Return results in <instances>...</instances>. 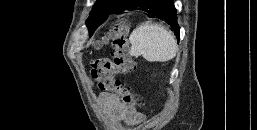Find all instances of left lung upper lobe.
I'll use <instances>...</instances> for the list:
<instances>
[{
	"mask_svg": "<svg viewBox=\"0 0 257 130\" xmlns=\"http://www.w3.org/2000/svg\"><path fill=\"white\" fill-rule=\"evenodd\" d=\"M128 0H97L86 21L90 36L114 10L122 7Z\"/></svg>",
	"mask_w": 257,
	"mask_h": 130,
	"instance_id": "left-lung-upper-lobe-1",
	"label": "left lung upper lobe"
}]
</instances>
